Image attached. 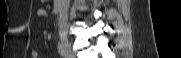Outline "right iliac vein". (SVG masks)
Segmentation results:
<instances>
[{
    "mask_svg": "<svg viewBox=\"0 0 181 58\" xmlns=\"http://www.w3.org/2000/svg\"><path fill=\"white\" fill-rule=\"evenodd\" d=\"M61 44L64 46L67 54L72 56L71 44L66 36H61Z\"/></svg>",
    "mask_w": 181,
    "mask_h": 58,
    "instance_id": "right-iliac-vein-1",
    "label": "right iliac vein"
}]
</instances>
